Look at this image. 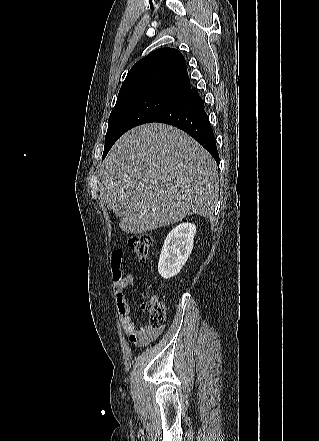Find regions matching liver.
I'll return each mask as SVG.
<instances>
[{
    "instance_id": "obj_1",
    "label": "liver",
    "mask_w": 319,
    "mask_h": 441,
    "mask_svg": "<svg viewBox=\"0 0 319 441\" xmlns=\"http://www.w3.org/2000/svg\"><path fill=\"white\" fill-rule=\"evenodd\" d=\"M100 196L120 228L141 234L187 215L208 217L218 200L213 157L182 130L147 123L122 135L101 169Z\"/></svg>"
}]
</instances>
